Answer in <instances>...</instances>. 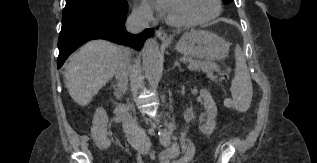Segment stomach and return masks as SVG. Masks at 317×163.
<instances>
[{
    "label": "stomach",
    "instance_id": "stomach-1",
    "mask_svg": "<svg viewBox=\"0 0 317 163\" xmlns=\"http://www.w3.org/2000/svg\"><path fill=\"white\" fill-rule=\"evenodd\" d=\"M175 49L187 56L213 61L226 57L229 44L215 33L191 30L178 40Z\"/></svg>",
    "mask_w": 317,
    "mask_h": 163
}]
</instances>
